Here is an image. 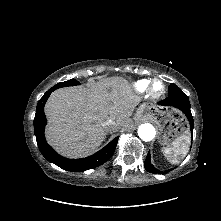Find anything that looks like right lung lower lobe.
<instances>
[{
    "label": "right lung lower lobe",
    "mask_w": 221,
    "mask_h": 221,
    "mask_svg": "<svg viewBox=\"0 0 221 221\" xmlns=\"http://www.w3.org/2000/svg\"><path fill=\"white\" fill-rule=\"evenodd\" d=\"M53 89H49L44 96L39 100L36 108L34 118V134L36 136L37 144L42 155L50 162L68 171L82 172L88 169L98 167L105 163L114 153L118 137L113 139L103 149L93 154L92 156L82 159H68L58 155L46 142L44 136V129L47 123L44 114V105Z\"/></svg>",
    "instance_id": "98d812e1"
}]
</instances>
